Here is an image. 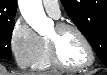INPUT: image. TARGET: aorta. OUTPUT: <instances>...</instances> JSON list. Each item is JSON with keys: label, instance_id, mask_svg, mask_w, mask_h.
<instances>
[{"label": "aorta", "instance_id": "obj_1", "mask_svg": "<svg viewBox=\"0 0 107 75\" xmlns=\"http://www.w3.org/2000/svg\"><path fill=\"white\" fill-rule=\"evenodd\" d=\"M19 8L26 22L40 35L46 34L50 26L41 0H19Z\"/></svg>", "mask_w": 107, "mask_h": 75}]
</instances>
